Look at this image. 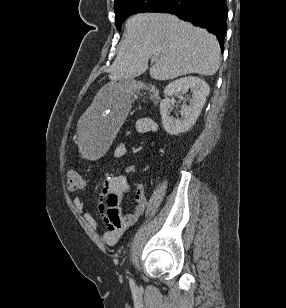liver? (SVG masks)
<instances>
[{
	"label": "liver",
	"mask_w": 286,
	"mask_h": 308,
	"mask_svg": "<svg viewBox=\"0 0 286 308\" xmlns=\"http://www.w3.org/2000/svg\"><path fill=\"white\" fill-rule=\"evenodd\" d=\"M157 55L153 56V51ZM164 81L186 74L212 76L219 69L220 46L205 29L174 15L141 13L126 22V38L110 67V80L133 79L148 69Z\"/></svg>",
	"instance_id": "6515ba94"
}]
</instances>
